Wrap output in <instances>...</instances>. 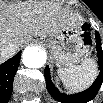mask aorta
<instances>
[{
  "label": "aorta",
  "mask_w": 103,
  "mask_h": 103,
  "mask_svg": "<svg viewBox=\"0 0 103 103\" xmlns=\"http://www.w3.org/2000/svg\"><path fill=\"white\" fill-rule=\"evenodd\" d=\"M46 60V52L39 46H28L22 53V63L27 68H41Z\"/></svg>",
  "instance_id": "1"
}]
</instances>
